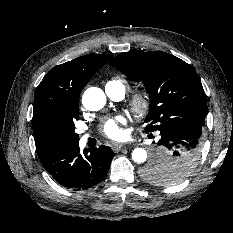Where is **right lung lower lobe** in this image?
Masks as SVG:
<instances>
[{
  "label": "right lung lower lobe",
  "instance_id": "1",
  "mask_svg": "<svg viewBox=\"0 0 233 233\" xmlns=\"http://www.w3.org/2000/svg\"><path fill=\"white\" fill-rule=\"evenodd\" d=\"M41 162L49 174L63 187L88 189L107 174L115 153L101 146L80 152L79 144L54 152H39Z\"/></svg>",
  "mask_w": 233,
  "mask_h": 233
}]
</instances>
